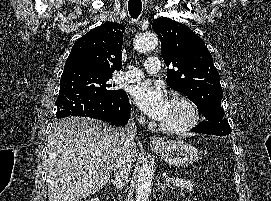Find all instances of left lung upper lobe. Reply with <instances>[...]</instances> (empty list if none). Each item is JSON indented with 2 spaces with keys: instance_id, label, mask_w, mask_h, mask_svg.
<instances>
[{
  "instance_id": "left-lung-upper-lobe-1",
  "label": "left lung upper lobe",
  "mask_w": 271,
  "mask_h": 201,
  "mask_svg": "<svg viewBox=\"0 0 271 201\" xmlns=\"http://www.w3.org/2000/svg\"><path fill=\"white\" fill-rule=\"evenodd\" d=\"M153 31L161 41V51L167 70L166 83L176 91L189 96L200 113L208 120L197 126L218 128L213 135L231 133L221 107L223 90L213 58L204 41L186 25L169 18L153 21Z\"/></svg>"
}]
</instances>
